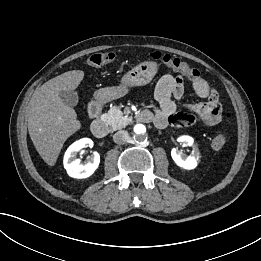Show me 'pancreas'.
Listing matches in <instances>:
<instances>
[{
	"instance_id": "obj_1",
	"label": "pancreas",
	"mask_w": 261,
	"mask_h": 261,
	"mask_svg": "<svg viewBox=\"0 0 261 261\" xmlns=\"http://www.w3.org/2000/svg\"><path fill=\"white\" fill-rule=\"evenodd\" d=\"M130 121L131 118L124 116L122 111L116 106L110 108L104 115V122L110 126L112 131L126 127Z\"/></svg>"
}]
</instances>
